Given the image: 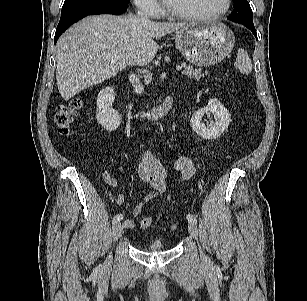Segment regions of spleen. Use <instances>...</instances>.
I'll return each mask as SVG.
<instances>
[{
    "instance_id": "spleen-1",
    "label": "spleen",
    "mask_w": 307,
    "mask_h": 301,
    "mask_svg": "<svg viewBox=\"0 0 307 301\" xmlns=\"http://www.w3.org/2000/svg\"><path fill=\"white\" fill-rule=\"evenodd\" d=\"M235 66L242 74H249L252 71L251 59L248 53L242 48L238 50Z\"/></svg>"
}]
</instances>
